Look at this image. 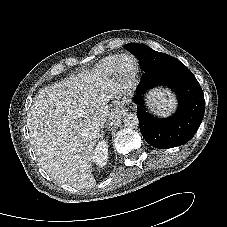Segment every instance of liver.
<instances>
[{
	"label": "liver",
	"instance_id": "1",
	"mask_svg": "<svg viewBox=\"0 0 227 227\" xmlns=\"http://www.w3.org/2000/svg\"><path fill=\"white\" fill-rule=\"evenodd\" d=\"M114 97L113 81L89 71L34 97L27 114L30 142L51 178L77 189L95 186L91 157Z\"/></svg>",
	"mask_w": 227,
	"mask_h": 227
}]
</instances>
